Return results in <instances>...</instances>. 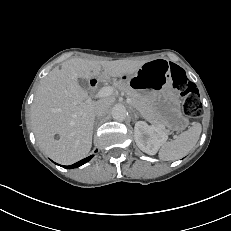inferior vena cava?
<instances>
[{
    "instance_id": "obj_1",
    "label": "inferior vena cava",
    "mask_w": 231,
    "mask_h": 231,
    "mask_svg": "<svg viewBox=\"0 0 231 231\" xmlns=\"http://www.w3.org/2000/svg\"><path fill=\"white\" fill-rule=\"evenodd\" d=\"M108 108H109V106L106 105L104 102L98 101L95 105L94 113L96 116L102 117V116L106 115V113L108 112Z\"/></svg>"
}]
</instances>
